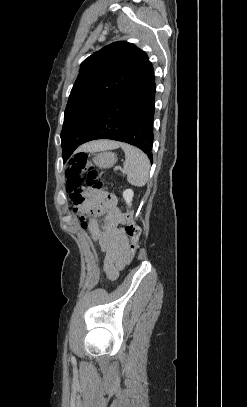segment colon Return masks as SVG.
<instances>
[{
	"label": "colon",
	"mask_w": 247,
	"mask_h": 407,
	"mask_svg": "<svg viewBox=\"0 0 247 407\" xmlns=\"http://www.w3.org/2000/svg\"><path fill=\"white\" fill-rule=\"evenodd\" d=\"M66 187L74 204L84 201V192L88 190H101L104 183L100 180L91 158L86 153H78L71 159L66 169ZM126 223V233L130 239L129 261H131L138 248L141 228L133 221L131 212L126 209L123 213Z\"/></svg>",
	"instance_id": "5ec220e1"
}]
</instances>
